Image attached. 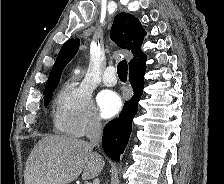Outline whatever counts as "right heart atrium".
Segmentation results:
<instances>
[{"label": "right heart atrium", "instance_id": "right-heart-atrium-1", "mask_svg": "<svg viewBox=\"0 0 224 184\" xmlns=\"http://www.w3.org/2000/svg\"><path fill=\"white\" fill-rule=\"evenodd\" d=\"M55 124L63 133L82 137L101 127L90 91L77 81L66 83L56 100Z\"/></svg>", "mask_w": 224, "mask_h": 184}]
</instances>
